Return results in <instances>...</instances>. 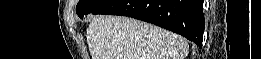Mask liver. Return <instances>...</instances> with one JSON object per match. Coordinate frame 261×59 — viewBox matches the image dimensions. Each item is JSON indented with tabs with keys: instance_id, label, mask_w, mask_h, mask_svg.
Returning <instances> with one entry per match:
<instances>
[{
	"instance_id": "6515ba94",
	"label": "liver",
	"mask_w": 261,
	"mask_h": 59,
	"mask_svg": "<svg viewBox=\"0 0 261 59\" xmlns=\"http://www.w3.org/2000/svg\"><path fill=\"white\" fill-rule=\"evenodd\" d=\"M92 59H184L186 40L128 17L96 16L87 28Z\"/></svg>"
}]
</instances>
